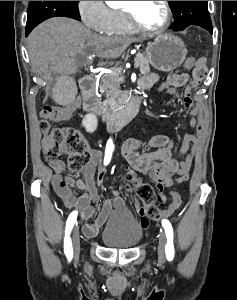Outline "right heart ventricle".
<instances>
[{"label": "right heart ventricle", "mask_w": 237, "mask_h": 300, "mask_svg": "<svg viewBox=\"0 0 237 300\" xmlns=\"http://www.w3.org/2000/svg\"><path fill=\"white\" fill-rule=\"evenodd\" d=\"M113 32L117 35H130L135 33V29L128 22L124 12L122 10L113 11Z\"/></svg>", "instance_id": "obj_1"}]
</instances>
